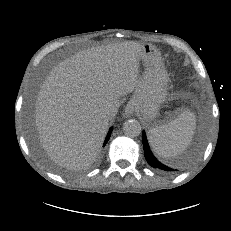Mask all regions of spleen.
I'll return each instance as SVG.
<instances>
[{
  "instance_id": "3e777b00",
  "label": "spleen",
  "mask_w": 231,
  "mask_h": 231,
  "mask_svg": "<svg viewBox=\"0 0 231 231\" xmlns=\"http://www.w3.org/2000/svg\"><path fill=\"white\" fill-rule=\"evenodd\" d=\"M195 128L196 117L194 113L185 110L167 124L151 128L148 132L149 141L159 157H175L188 147Z\"/></svg>"
}]
</instances>
